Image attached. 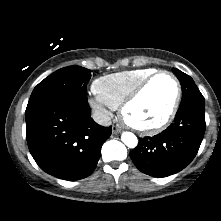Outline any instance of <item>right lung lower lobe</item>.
Masks as SVG:
<instances>
[{"label":"right lung lower lobe","mask_w":221,"mask_h":221,"mask_svg":"<svg viewBox=\"0 0 221 221\" xmlns=\"http://www.w3.org/2000/svg\"><path fill=\"white\" fill-rule=\"evenodd\" d=\"M87 100H51L26 108L27 143L39 167L57 178L76 181L96 168L112 127L98 125Z\"/></svg>","instance_id":"right-lung-lower-lobe-1"}]
</instances>
